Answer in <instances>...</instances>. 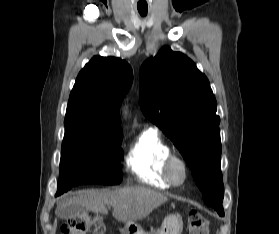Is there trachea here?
<instances>
[{
	"label": "trachea",
	"instance_id": "1",
	"mask_svg": "<svg viewBox=\"0 0 279 234\" xmlns=\"http://www.w3.org/2000/svg\"><path fill=\"white\" fill-rule=\"evenodd\" d=\"M140 14H141L142 16H145V15H146V13H145V12H140Z\"/></svg>",
	"mask_w": 279,
	"mask_h": 234
}]
</instances>
